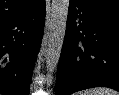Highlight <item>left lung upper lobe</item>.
I'll return each instance as SVG.
<instances>
[{"label":"left lung upper lobe","instance_id":"5c2ea615","mask_svg":"<svg viewBox=\"0 0 119 95\" xmlns=\"http://www.w3.org/2000/svg\"><path fill=\"white\" fill-rule=\"evenodd\" d=\"M96 8L119 14V0H82Z\"/></svg>","mask_w":119,"mask_h":95}]
</instances>
